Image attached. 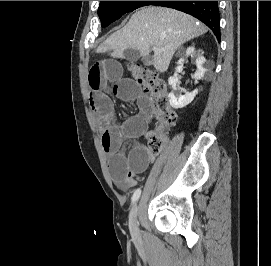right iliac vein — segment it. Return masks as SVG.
<instances>
[{"mask_svg":"<svg viewBox=\"0 0 271 266\" xmlns=\"http://www.w3.org/2000/svg\"><path fill=\"white\" fill-rule=\"evenodd\" d=\"M139 213V205L135 204L131 211L130 216V231L134 238L138 236V224H137V216Z\"/></svg>","mask_w":271,"mask_h":266,"instance_id":"1","label":"right iliac vein"}]
</instances>
